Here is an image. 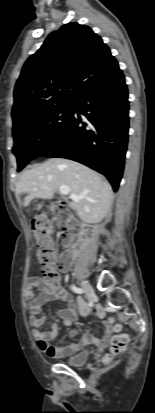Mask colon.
I'll return each instance as SVG.
<instances>
[{
    "label": "colon",
    "mask_w": 155,
    "mask_h": 413,
    "mask_svg": "<svg viewBox=\"0 0 155 413\" xmlns=\"http://www.w3.org/2000/svg\"><path fill=\"white\" fill-rule=\"evenodd\" d=\"M50 216L55 219L58 225L63 227V238L65 242H71L73 240L74 230L72 226L68 224V213L66 209L60 205L53 206L47 211L38 209L32 220V229L38 240L37 256L42 265L45 284L51 288H57L60 286L61 281L57 269H66L71 263V257L69 255L57 256L56 244L50 239L49 236L51 229ZM95 312L98 315H104V312L100 306L95 308ZM114 328L119 330L120 325L114 324ZM128 343V336H114L111 340V355L116 356L124 352L128 346Z\"/></svg>",
    "instance_id": "5ec220e1"
}]
</instances>
